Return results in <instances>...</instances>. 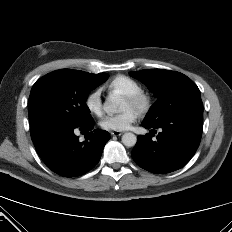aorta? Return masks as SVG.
Wrapping results in <instances>:
<instances>
[{
  "label": "aorta",
  "instance_id": "1",
  "mask_svg": "<svg viewBox=\"0 0 232 232\" xmlns=\"http://www.w3.org/2000/svg\"><path fill=\"white\" fill-rule=\"evenodd\" d=\"M124 101L119 95H110L104 103L106 113H120L123 111ZM137 137L135 134L128 132L122 136V143L127 147H132L136 144Z\"/></svg>",
  "mask_w": 232,
  "mask_h": 232
}]
</instances>
